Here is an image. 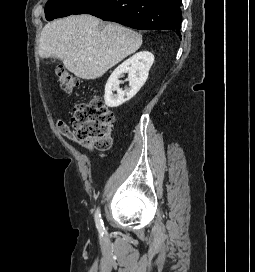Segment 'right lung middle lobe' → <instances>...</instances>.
Segmentation results:
<instances>
[{
  "label": "right lung middle lobe",
  "instance_id": "obj_1",
  "mask_svg": "<svg viewBox=\"0 0 255 272\" xmlns=\"http://www.w3.org/2000/svg\"><path fill=\"white\" fill-rule=\"evenodd\" d=\"M90 0H49L45 7L48 21L73 14Z\"/></svg>",
  "mask_w": 255,
  "mask_h": 272
}]
</instances>
